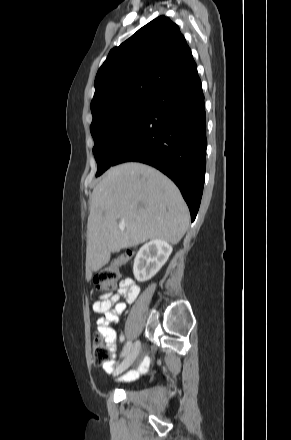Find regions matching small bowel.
Here are the masks:
<instances>
[{
  "label": "small bowel",
  "instance_id": "1",
  "mask_svg": "<svg viewBox=\"0 0 291 440\" xmlns=\"http://www.w3.org/2000/svg\"><path fill=\"white\" fill-rule=\"evenodd\" d=\"M121 290L124 292V299L121 301L119 294H106L95 301L93 311L103 314L97 320V331L105 338L106 344L111 352V359L102 364L103 369L110 373L115 365L114 357L116 353V333L112 325L118 322L120 315L124 313L127 306L131 304L140 293V288L130 279L121 281ZM149 366V360L143 359L140 364V370L145 371ZM136 372H129L124 378L133 379Z\"/></svg>",
  "mask_w": 291,
  "mask_h": 440
}]
</instances>
